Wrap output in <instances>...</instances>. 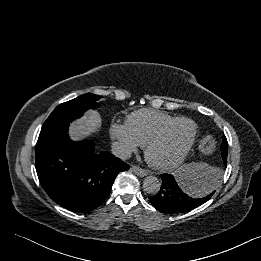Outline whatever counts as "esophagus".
<instances>
[{"label":"esophagus","instance_id":"obj_1","mask_svg":"<svg viewBox=\"0 0 261 261\" xmlns=\"http://www.w3.org/2000/svg\"><path fill=\"white\" fill-rule=\"evenodd\" d=\"M131 171L140 177H145L147 175V171L138 166H132Z\"/></svg>","mask_w":261,"mask_h":261}]
</instances>
